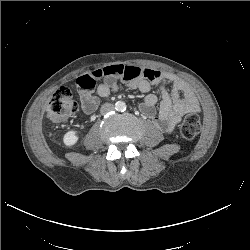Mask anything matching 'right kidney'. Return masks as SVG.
Wrapping results in <instances>:
<instances>
[{"mask_svg":"<svg viewBox=\"0 0 250 250\" xmlns=\"http://www.w3.org/2000/svg\"><path fill=\"white\" fill-rule=\"evenodd\" d=\"M78 134L76 131L71 130L68 131L67 133H65L64 137H63V142L66 146H73L77 143L78 141Z\"/></svg>","mask_w":250,"mask_h":250,"instance_id":"obj_1","label":"right kidney"}]
</instances>
